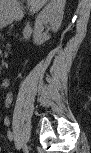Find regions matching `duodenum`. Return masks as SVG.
<instances>
[{
    "mask_svg": "<svg viewBox=\"0 0 91 153\" xmlns=\"http://www.w3.org/2000/svg\"><path fill=\"white\" fill-rule=\"evenodd\" d=\"M16 14L17 12H13L11 16L13 17ZM31 33H32V28L29 25H26L22 30V39L24 41H27L30 38Z\"/></svg>",
    "mask_w": 91,
    "mask_h": 153,
    "instance_id": "obj_1",
    "label": "duodenum"
}]
</instances>
